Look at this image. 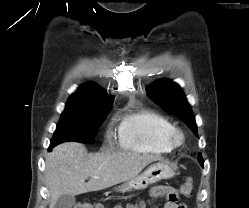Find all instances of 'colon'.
<instances>
[{"label":"colon","mask_w":249,"mask_h":208,"mask_svg":"<svg viewBox=\"0 0 249 208\" xmlns=\"http://www.w3.org/2000/svg\"><path fill=\"white\" fill-rule=\"evenodd\" d=\"M193 190V182L191 178H187V180L182 184V186L179 189L180 194L184 195V196H189L192 193ZM74 208H104V206L100 205V204H92V203H88V202H81L75 205ZM115 208H121L119 206H116ZM127 208H142L141 205H136V204H132L127 206Z\"/></svg>","instance_id":"obj_1"}]
</instances>
